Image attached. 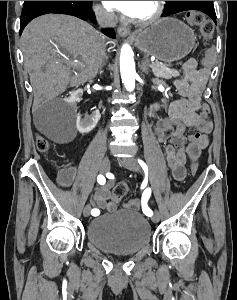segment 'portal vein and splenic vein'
Listing matches in <instances>:
<instances>
[{"instance_id":"portal-vein-and-splenic-vein-1","label":"portal vein and splenic vein","mask_w":237,"mask_h":300,"mask_svg":"<svg viewBox=\"0 0 237 300\" xmlns=\"http://www.w3.org/2000/svg\"><path fill=\"white\" fill-rule=\"evenodd\" d=\"M152 65H150L149 67L152 68V69H157L159 68L160 66L157 65L158 63L157 62H153V63H150ZM162 67H167V66H162ZM168 67H171V66H168Z\"/></svg>"}]
</instances>
